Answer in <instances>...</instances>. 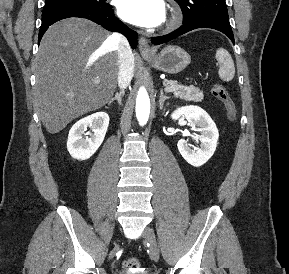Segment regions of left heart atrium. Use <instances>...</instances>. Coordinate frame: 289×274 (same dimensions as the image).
I'll return each mask as SVG.
<instances>
[{
    "label": "left heart atrium",
    "mask_w": 289,
    "mask_h": 274,
    "mask_svg": "<svg viewBox=\"0 0 289 274\" xmlns=\"http://www.w3.org/2000/svg\"><path fill=\"white\" fill-rule=\"evenodd\" d=\"M117 11L123 20L141 27L157 26L165 18L163 0H118Z\"/></svg>",
    "instance_id": "1"
}]
</instances>
